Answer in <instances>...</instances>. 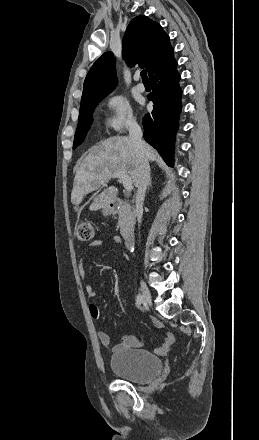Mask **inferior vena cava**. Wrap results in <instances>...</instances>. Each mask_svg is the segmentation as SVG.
<instances>
[{"instance_id": "1", "label": "inferior vena cava", "mask_w": 259, "mask_h": 440, "mask_svg": "<svg viewBox=\"0 0 259 440\" xmlns=\"http://www.w3.org/2000/svg\"><path fill=\"white\" fill-rule=\"evenodd\" d=\"M129 138L133 142L136 150L140 155V169L138 175L137 183V194H136V215L138 223L140 225L142 213H143V203L146 194V189L149 184L150 179V167L145 158V144L142 141V130L136 121H131L128 125Z\"/></svg>"}]
</instances>
